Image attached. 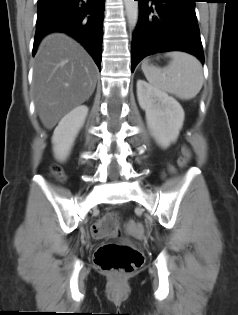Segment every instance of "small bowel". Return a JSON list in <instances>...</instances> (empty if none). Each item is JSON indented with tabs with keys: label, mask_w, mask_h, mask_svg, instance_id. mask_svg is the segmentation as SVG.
<instances>
[{
	"label": "small bowel",
	"mask_w": 238,
	"mask_h": 315,
	"mask_svg": "<svg viewBox=\"0 0 238 315\" xmlns=\"http://www.w3.org/2000/svg\"><path fill=\"white\" fill-rule=\"evenodd\" d=\"M169 171H170V172H173V169H172V168H169Z\"/></svg>",
	"instance_id": "1"
}]
</instances>
